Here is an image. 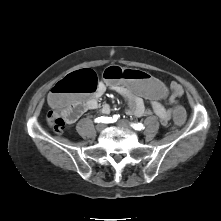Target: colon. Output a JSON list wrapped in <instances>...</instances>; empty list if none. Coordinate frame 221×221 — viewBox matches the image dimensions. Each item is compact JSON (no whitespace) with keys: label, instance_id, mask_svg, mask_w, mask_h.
I'll list each match as a JSON object with an SVG mask.
<instances>
[{"label":"colon","instance_id":"obj_1","mask_svg":"<svg viewBox=\"0 0 221 221\" xmlns=\"http://www.w3.org/2000/svg\"><path fill=\"white\" fill-rule=\"evenodd\" d=\"M104 78L108 84H123L126 88H131L136 95L151 101L162 99L167 92L164 81L157 75L134 68L124 70L115 65L106 70ZM96 88L97 75L91 69L73 72L52 88L48 101L53 111L49 113L48 121L56 133H62L70 125V116L78 108L76 100L82 95L94 92ZM188 117L189 113L185 107H171L170 121L175 130H180Z\"/></svg>","mask_w":221,"mask_h":221}]
</instances>
